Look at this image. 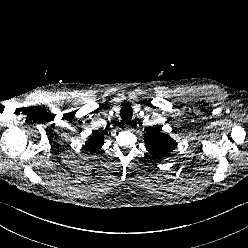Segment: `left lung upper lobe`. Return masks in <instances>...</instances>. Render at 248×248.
I'll return each instance as SVG.
<instances>
[{"mask_svg":"<svg viewBox=\"0 0 248 248\" xmlns=\"http://www.w3.org/2000/svg\"><path fill=\"white\" fill-rule=\"evenodd\" d=\"M144 142L153 159L166 156L176 148L175 140L168 134L162 133L161 128H148L144 134Z\"/></svg>","mask_w":248,"mask_h":248,"instance_id":"5c2ea615","label":"left lung upper lobe"}]
</instances>
